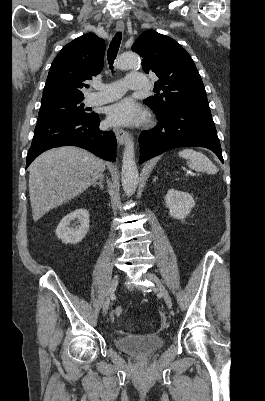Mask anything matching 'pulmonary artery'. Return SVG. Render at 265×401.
<instances>
[{"label": "pulmonary artery", "instance_id": "obj_1", "mask_svg": "<svg viewBox=\"0 0 265 401\" xmlns=\"http://www.w3.org/2000/svg\"><path fill=\"white\" fill-rule=\"evenodd\" d=\"M144 81L145 78L143 72H130L128 77V89L142 90L144 88ZM98 84L102 83L98 82ZM123 87L124 84L122 81H107L106 86L102 87L98 95L89 97V102L94 105L112 102L125 93V90H122Z\"/></svg>", "mask_w": 265, "mask_h": 401}]
</instances>
